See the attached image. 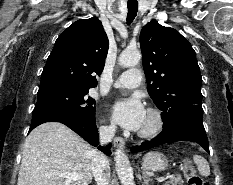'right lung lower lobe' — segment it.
Returning <instances> with one entry per match:
<instances>
[{
    "label": "right lung lower lobe",
    "instance_id": "obj_1",
    "mask_svg": "<svg viewBox=\"0 0 233 185\" xmlns=\"http://www.w3.org/2000/svg\"><path fill=\"white\" fill-rule=\"evenodd\" d=\"M60 122L67 125L87 142L93 146L98 145V130L96 127V121L94 119H87L80 115H75L65 112H54V111H38L32 113V123L29 132L36 126L45 122ZM108 148L98 146V149L103 153L110 155L111 151Z\"/></svg>",
    "mask_w": 233,
    "mask_h": 185
}]
</instances>
